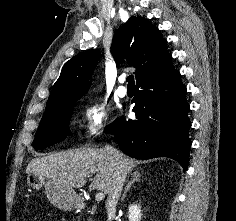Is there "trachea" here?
Returning <instances> with one entry per match:
<instances>
[{
    "instance_id": "trachea-1",
    "label": "trachea",
    "mask_w": 236,
    "mask_h": 221,
    "mask_svg": "<svg viewBox=\"0 0 236 221\" xmlns=\"http://www.w3.org/2000/svg\"><path fill=\"white\" fill-rule=\"evenodd\" d=\"M126 81L128 82V86H134V85H135L133 75H129V76L127 77Z\"/></svg>"
}]
</instances>
